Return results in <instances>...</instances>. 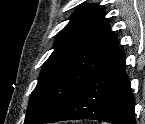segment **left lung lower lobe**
I'll return each mask as SVG.
<instances>
[{
    "label": "left lung lower lobe",
    "mask_w": 145,
    "mask_h": 124,
    "mask_svg": "<svg viewBox=\"0 0 145 124\" xmlns=\"http://www.w3.org/2000/svg\"><path fill=\"white\" fill-rule=\"evenodd\" d=\"M75 119L135 124L134 99L122 51L118 50L44 123Z\"/></svg>",
    "instance_id": "left-lung-lower-lobe-1"
}]
</instances>
